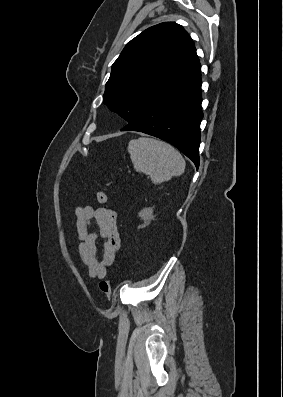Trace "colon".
Here are the masks:
<instances>
[{"instance_id":"colon-1","label":"colon","mask_w":283,"mask_h":397,"mask_svg":"<svg viewBox=\"0 0 283 397\" xmlns=\"http://www.w3.org/2000/svg\"><path fill=\"white\" fill-rule=\"evenodd\" d=\"M96 199L99 203L104 204L107 202V195L104 191L99 190L96 193ZM99 288L108 298L112 296V288L108 280L106 279L101 280L99 282Z\"/></svg>"}]
</instances>
